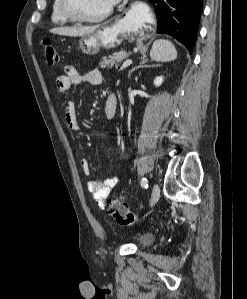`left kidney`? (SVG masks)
<instances>
[{
    "label": "left kidney",
    "instance_id": "1",
    "mask_svg": "<svg viewBox=\"0 0 247 299\" xmlns=\"http://www.w3.org/2000/svg\"><path fill=\"white\" fill-rule=\"evenodd\" d=\"M163 83V76L156 77L154 80V85L156 87H159Z\"/></svg>",
    "mask_w": 247,
    "mask_h": 299
}]
</instances>
